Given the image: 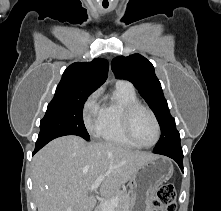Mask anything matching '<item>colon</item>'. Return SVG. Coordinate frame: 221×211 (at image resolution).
<instances>
[{
    "mask_svg": "<svg viewBox=\"0 0 221 211\" xmlns=\"http://www.w3.org/2000/svg\"><path fill=\"white\" fill-rule=\"evenodd\" d=\"M155 211H176V192L171 183L163 184L154 200Z\"/></svg>",
    "mask_w": 221,
    "mask_h": 211,
    "instance_id": "5ec220e1",
    "label": "colon"
}]
</instances>
